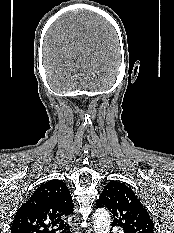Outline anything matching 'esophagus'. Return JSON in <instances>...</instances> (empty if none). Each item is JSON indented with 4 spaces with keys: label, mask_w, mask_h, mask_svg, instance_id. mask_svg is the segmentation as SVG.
I'll return each instance as SVG.
<instances>
[{
    "label": "esophagus",
    "mask_w": 174,
    "mask_h": 233,
    "mask_svg": "<svg viewBox=\"0 0 174 233\" xmlns=\"http://www.w3.org/2000/svg\"><path fill=\"white\" fill-rule=\"evenodd\" d=\"M84 233H92V229L91 228L85 229Z\"/></svg>",
    "instance_id": "1"
}]
</instances>
